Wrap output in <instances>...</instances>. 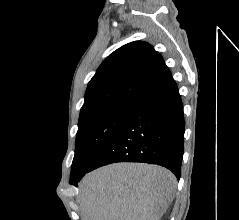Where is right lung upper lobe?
Segmentation results:
<instances>
[{
    "label": "right lung upper lobe",
    "instance_id": "obj_1",
    "mask_svg": "<svg viewBox=\"0 0 239 220\" xmlns=\"http://www.w3.org/2000/svg\"><path fill=\"white\" fill-rule=\"evenodd\" d=\"M171 76L162 56L143 41L123 45L110 54L90 80L80 118L135 102Z\"/></svg>",
    "mask_w": 239,
    "mask_h": 220
}]
</instances>
